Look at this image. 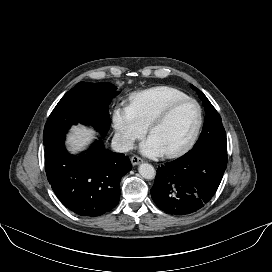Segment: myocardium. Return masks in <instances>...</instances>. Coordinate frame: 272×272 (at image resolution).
Masks as SVG:
<instances>
[{"label":"myocardium","mask_w":272,"mask_h":272,"mask_svg":"<svg viewBox=\"0 0 272 272\" xmlns=\"http://www.w3.org/2000/svg\"><path fill=\"white\" fill-rule=\"evenodd\" d=\"M184 103H193L196 108H197V122L195 125V128L192 132V134L190 135V137L188 138V140L180 147L171 150V151H167L164 152L163 154L166 157H177L180 156L182 154H184L185 152H187L192 145L194 144V142L196 141L202 124H203V111H202V107L201 105L198 103L197 100H195L194 98L191 97H185V98H181V99H177L171 103H169L163 110H161L149 123L147 130L148 133L151 134V132L153 131V129L155 127H157L158 125H160L161 123H163L172 113L173 111L179 107L180 105L184 104Z\"/></svg>","instance_id":"myocardium-1"}]
</instances>
